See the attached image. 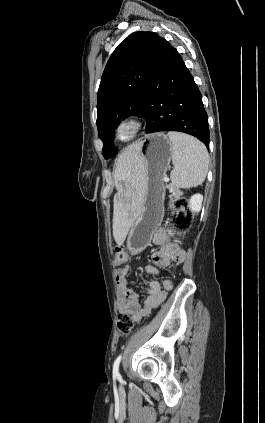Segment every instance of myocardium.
<instances>
[{
  "instance_id": "myocardium-1",
  "label": "myocardium",
  "mask_w": 265,
  "mask_h": 423,
  "mask_svg": "<svg viewBox=\"0 0 265 423\" xmlns=\"http://www.w3.org/2000/svg\"><path fill=\"white\" fill-rule=\"evenodd\" d=\"M143 121L135 116L120 120L114 127L115 138L123 143L134 140L143 129Z\"/></svg>"
}]
</instances>
